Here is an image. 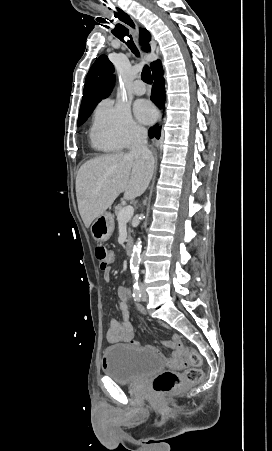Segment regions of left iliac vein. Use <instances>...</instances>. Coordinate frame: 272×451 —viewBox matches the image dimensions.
Listing matches in <instances>:
<instances>
[{"instance_id": "1", "label": "left iliac vein", "mask_w": 272, "mask_h": 451, "mask_svg": "<svg viewBox=\"0 0 272 451\" xmlns=\"http://www.w3.org/2000/svg\"><path fill=\"white\" fill-rule=\"evenodd\" d=\"M141 291H142V300L145 301L147 299V294L144 286H141Z\"/></svg>"}]
</instances>
